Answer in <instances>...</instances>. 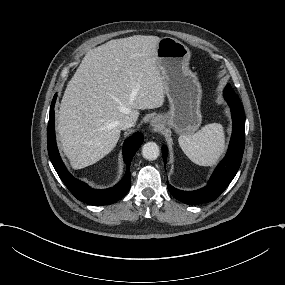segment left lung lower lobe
Masks as SVG:
<instances>
[{"label": "left lung lower lobe", "mask_w": 285, "mask_h": 285, "mask_svg": "<svg viewBox=\"0 0 285 285\" xmlns=\"http://www.w3.org/2000/svg\"><path fill=\"white\" fill-rule=\"evenodd\" d=\"M224 98L228 102L233 118V131L227 154L217 166L209 183L196 191H182L167 182L170 193L179 201L197 205L216 200L235 177L244 152L245 145V114L239 97L232 90L230 84L224 89ZM164 165L166 166L167 148H162Z\"/></svg>", "instance_id": "obj_1"}]
</instances>
